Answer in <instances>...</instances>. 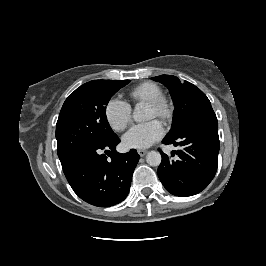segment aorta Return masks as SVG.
I'll list each match as a JSON object with an SVG mask.
<instances>
[{
  "mask_svg": "<svg viewBox=\"0 0 266 266\" xmlns=\"http://www.w3.org/2000/svg\"><path fill=\"white\" fill-rule=\"evenodd\" d=\"M147 113L142 103L136 104L133 111V118L136 122H143L147 119ZM161 154L157 151H150L146 155V162L150 166H158L161 163Z\"/></svg>",
  "mask_w": 266,
  "mask_h": 266,
  "instance_id": "1",
  "label": "aorta"
}]
</instances>
